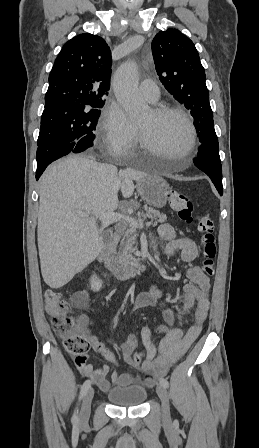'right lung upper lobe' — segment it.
<instances>
[{
    "label": "right lung upper lobe",
    "instance_id": "obj_1",
    "mask_svg": "<svg viewBox=\"0 0 259 448\" xmlns=\"http://www.w3.org/2000/svg\"><path fill=\"white\" fill-rule=\"evenodd\" d=\"M111 52L89 33L66 42L49 75L43 114L69 113L104 104L111 77Z\"/></svg>",
    "mask_w": 259,
    "mask_h": 448
}]
</instances>
